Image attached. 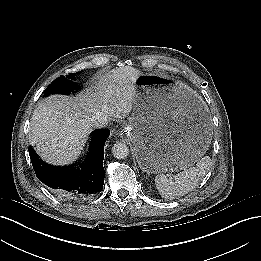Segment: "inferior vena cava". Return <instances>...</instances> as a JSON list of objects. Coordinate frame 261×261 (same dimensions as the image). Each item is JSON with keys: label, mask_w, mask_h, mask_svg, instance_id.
<instances>
[{"label": "inferior vena cava", "mask_w": 261, "mask_h": 261, "mask_svg": "<svg viewBox=\"0 0 261 261\" xmlns=\"http://www.w3.org/2000/svg\"><path fill=\"white\" fill-rule=\"evenodd\" d=\"M111 117L108 113L103 111H97L92 114L90 122L96 128H103L109 124Z\"/></svg>", "instance_id": "inferior-vena-cava-1"}]
</instances>
